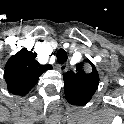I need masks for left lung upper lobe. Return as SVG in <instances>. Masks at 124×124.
Masks as SVG:
<instances>
[{
    "label": "left lung upper lobe",
    "mask_w": 124,
    "mask_h": 124,
    "mask_svg": "<svg viewBox=\"0 0 124 124\" xmlns=\"http://www.w3.org/2000/svg\"><path fill=\"white\" fill-rule=\"evenodd\" d=\"M78 65V72L68 71L64 75V91L67 101L72 105L82 106L90 101L99 84V75L94 68L86 74Z\"/></svg>",
    "instance_id": "1"
}]
</instances>
